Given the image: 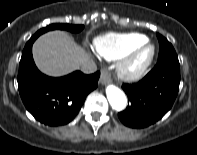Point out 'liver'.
Returning a JSON list of instances; mask_svg holds the SVG:
<instances>
[{
	"instance_id": "1",
	"label": "liver",
	"mask_w": 197,
	"mask_h": 155,
	"mask_svg": "<svg viewBox=\"0 0 197 155\" xmlns=\"http://www.w3.org/2000/svg\"><path fill=\"white\" fill-rule=\"evenodd\" d=\"M37 67L49 76H63L89 61L86 51L63 31L41 35L33 44Z\"/></svg>"
}]
</instances>
